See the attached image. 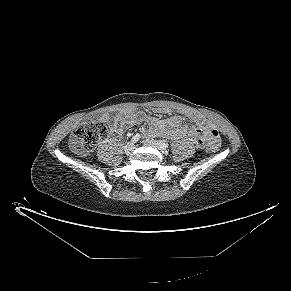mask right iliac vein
Returning <instances> with one entry per match:
<instances>
[{"instance_id": "right-iliac-vein-1", "label": "right iliac vein", "mask_w": 291, "mask_h": 291, "mask_svg": "<svg viewBox=\"0 0 291 291\" xmlns=\"http://www.w3.org/2000/svg\"><path fill=\"white\" fill-rule=\"evenodd\" d=\"M135 146L133 142H128L125 146H124V151L125 153L129 154L134 150Z\"/></svg>"}]
</instances>
